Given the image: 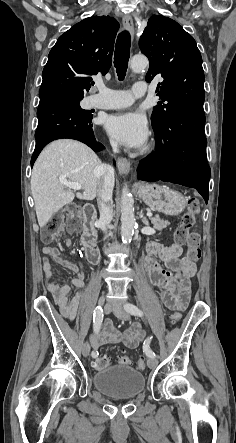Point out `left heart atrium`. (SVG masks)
<instances>
[{
  "label": "left heart atrium",
  "instance_id": "39dd6f15",
  "mask_svg": "<svg viewBox=\"0 0 236 443\" xmlns=\"http://www.w3.org/2000/svg\"><path fill=\"white\" fill-rule=\"evenodd\" d=\"M105 129L112 139L128 147H142L148 138L146 119L135 112H120L108 116Z\"/></svg>",
  "mask_w": 236,
  "mask_h": 443
}]
</instances>
